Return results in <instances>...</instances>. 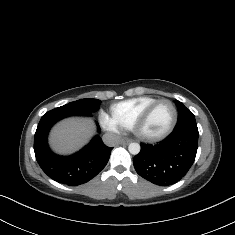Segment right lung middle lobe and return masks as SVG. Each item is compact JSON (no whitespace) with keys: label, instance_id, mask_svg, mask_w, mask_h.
Returning a JSON list of instances; mask_svg holds the SVG:
<instances>
[{"label":"right lung middle lobe","instance_id":"dd1d6c3e","mask_svg":"<svg viewBox=\"0 0 235 235\" xmlns=\"http://www.w3.org/2000/svg\"><path fill=\"white\" fill-rule=\"evenodd\" d=\"M101 101L97 99H80L54 109L63 116L85 115L91 116L99 109Z\"/></svg>","mask_w":235,"mask_h":235}]
</instances>
